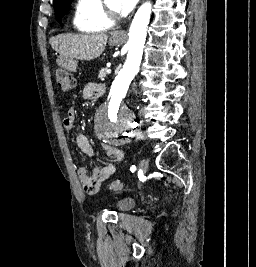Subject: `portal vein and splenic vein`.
<instances>
[{"instance_id": "18ae733b", "label": "portal vein and splenic vein", "mask_w": 256, "mask_h": 267, "mask_svg": "<svg viewBox=\"0 0 256 267\" xmlns=\"http://www.w3.org/2000/svg\"><path fill=\"white\" fill-rule=\"evenodd\" d=\"M106 73L110 74L111 73V68H107Z\"/></svg>"}]
</instances>
